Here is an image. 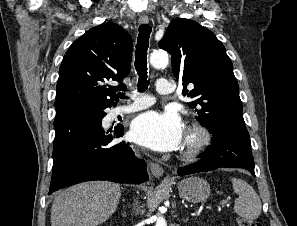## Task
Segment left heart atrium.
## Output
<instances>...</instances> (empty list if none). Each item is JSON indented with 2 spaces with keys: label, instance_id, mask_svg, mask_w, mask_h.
I'll list each match as a JSON object with an SVG mask.
<instances>
[{
  "label": "left heart atrium",
  "instance_id": "left-heart-atrium-1",
  "mask_svg": "<svg viewBox=\"0 0 297 226\" xmlns=\"http://www.w3.org/2000/svg\"><path fill=\"white\" fill-rule=\"evenodd\" d=\"M130 136L140 145L155 151L167 152L182 146L185 132L183 123L176 113L148 111L133 120Z\"/></svg>",
  "mask_w": 297,
  "mask_h": 226
}]
</instances>
